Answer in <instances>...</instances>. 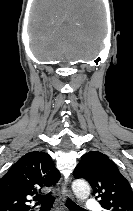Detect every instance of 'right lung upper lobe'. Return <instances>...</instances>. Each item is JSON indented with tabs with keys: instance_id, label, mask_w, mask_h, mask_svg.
<instances>
[{
	"instance_id": "cb5924a9",
	"label": "right lung upper lobe",
	"mask_w": 133,
	"mask_h": 211,
	"mask_svg": "<svg viewBox=\"0 0 133 211\" xmlns=\"http://www.w3.org/2000/svg\"><path fill=\"white\" fill-rule=\"evenodd\" d=\"M59 178L49 154H25L0 179V211H28L27 197L55 185Z\"/></svg>"
}]
</instances>
